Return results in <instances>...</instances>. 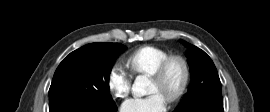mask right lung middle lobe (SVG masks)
<instances>
[{
	"mask_svg": "<svg viewBox=\"0 0 270 112\" xmlns=\"http://www.w3.org/2000/svg\"><path fill=\"white\" fill-rule=\"evenodd\" d=\"M126 49L118 43H92L70 53L58 66L49 89V106L79 100L115 105L109 76L116 58Z\"/></svg>",
	"mask_w": 270,
	"mask_h": 112,
	"instance_id": "1",
	"label": "right lung middle lobe"
}]
</instances>
